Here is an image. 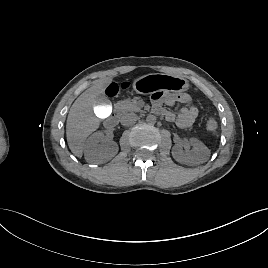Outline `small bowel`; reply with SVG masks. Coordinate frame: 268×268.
Wrapping results in <instances>:
<instances>
[{"instance_id": "1", "label": "small bowel", "mask_w": 268, "mask_h": 268, "mask_svg": "<svg viewBox=\"0 0 268 268\" xmlns=\"http://www.w3.org/2000/svg\"><path fill=\"white\" fill-rule=\"evenodd\" d=\"M176 103L184 105L178 114L164 107L174 106ZM153 107L156 113L164 115L169 122H174L181 129L191 127L198 116V109L193 105L192 97L187 93L163 95L161 92H155L153 94Z\"/></svg>"}]
</instances>
